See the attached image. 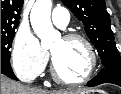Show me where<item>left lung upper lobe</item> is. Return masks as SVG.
Wrapping results in <instances>:
<instances>
[{
	"label": "left lung upper lobe",
	"instance_id": "obj_1",
	"mask_svg": "<svg viewBox=\"0 0 121 94\" xmlns=\"http://www.w3.org/2000/svg\"><path fill=\"white\" fill-rule=\"evenodd\" d=\"M85 25L104 67H121V58L110 27L105 0H61Z\"/></svg>",
	"mask_w": 121,
	"mask_h": 94
}]
</instances>
